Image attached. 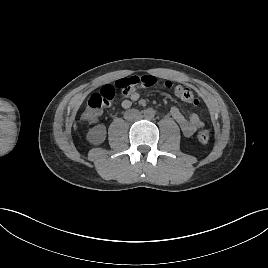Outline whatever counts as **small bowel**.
I'll list each match as a JSON object with an SVG mask.
<instances>
[{
	"label": "small bowel",
	"mask_w": 268,
	"mask_h": 268,
	"mask_svg": "<svg viewBox=\"0 0 268 268\" xmlns=\"http://www.w3.org/2000/svg\"><path fill=\"white\" fill-rule=\"evenodd\" d=\"M140 98L141 94L135 90L127 95L121 105L127 109L132 105V102L138 101ZM170 114L186 137L192 136L198 129L204 126L201 115L193 113L185 116L177 106L171 108Z\"/></svg>",
	"instance_id": "small-bowel-1"
}]
</instances>
